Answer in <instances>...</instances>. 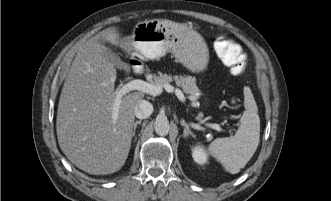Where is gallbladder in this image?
<instances>
[{
	"mask_svg": "<svg viewBox=\"0 0 331 201\" xmlns=\"http://www.w3.org/2000/svg\"><path fill=\"white\" fill-rule=\"evenodd\" d=\"M103 56L110 61L116 68H125L126 64L121 61L119 56L113 52L111 49L106 48L103 50Z\"/></svg>",
	"mask_w": 331,
	"mask_h": 201,
	"instance_id": "gallbladder-1",
	"label": "gallbladder"
}]
</instances>
